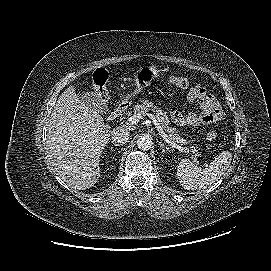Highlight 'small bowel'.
Returning <instances> with one entry per match:
<instances>
[{
    "mask_svg": "<svg viewBox=\"0 0 271 271\" xmlns=\"http://www.w3.org/2000/svg\"><path fill=\"white\" fill-rule=\"evenodd\" d=\"M189 102H198L201 106L199 113L190 111L183 115L177 110L170 112V118L179 126L195 127L210 125L223 119V111L219 101L207 92L204 86L195 85L187 93Z\"/></svg>",
    "mask_w": 271,
    "mask_h": 271,
    "instance_id": "small-bowel-1",
    "label": "small bowel"
}]
</instances>
